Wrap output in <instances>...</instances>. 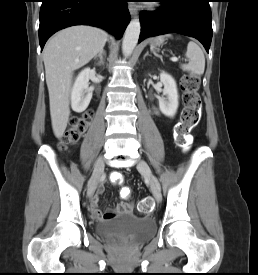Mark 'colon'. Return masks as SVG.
<instances>
[{
    "instance_id": "colon-1",
    "label": "colon",
    "mask_w": 258,
    "mask_h": 275,
    "mask_svg": "<svg viewBox=\"0 0 258 275\" xmlns=\"http://www.w3.org/2000/svg\"><path fill=\"white\" fill-rule=\"evenodd\" d=\"M180 85L183 91L184 109L181 121L176 127V140L180 146L187 147L190 143V132L200 121L202 101L198 93L199 79L197 76L191 74L184 75ZM91 116L92 113L88 111L70 120V126L62 137V148H66L68 145L75 144L80 140L88 127ZM111 181L116 185H122L124 176L120 172H114L111 175ZM121 195L128 197L130 195V189L123 187L121 189ZM153 207L154 204L150 197L142 199L138 206L139 211L142 213L152 211Z\"/></svg>"
}]
</instances>
